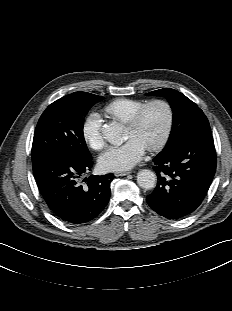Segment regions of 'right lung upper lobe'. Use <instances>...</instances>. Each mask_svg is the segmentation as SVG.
Segmentation results:
<instances>
[{"instance_id":"obj_1","label":"right lung upper lobe","mask_w":232,"mask_h":311,"mask_svg":"<svg viewBox=\"0 0 232 311\" xmlns=\"http://www.w3.org/2000/svg\"><path fill=\"white\" fill-rule=\"evenodd\" d=\"M74 95H89V96H92V97H95V98H103L101 96H97V95H94V94H91V93H87V92H75V93H72V94L67 95L65 97H72Z\"/></svg>"}]
</instances>
